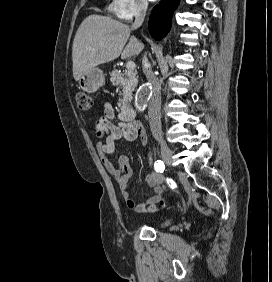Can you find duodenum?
Listing matches in <instances>:
<instances>
[{
    "label": "duodenum",
    "mask_w": 272,
    "mask_h": 282,
    "mask_svg": "<svg viewBox=\"0 0 272 282\" xmlns=\"http://www.w3.org/2000/svg\"><path fill=\"white\" fill-rule=\"evenodd\" d=\"M120 115L123 120H126V121L132 120L137 115V110L134 107L130 106L129 103L126 102L124 103V107L121 110Z\"/></svg>",
    "instance_id": "1"
}]
</instances>
